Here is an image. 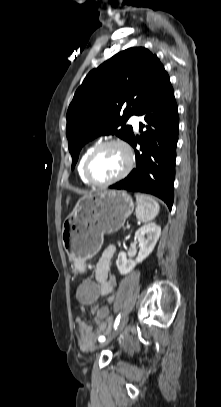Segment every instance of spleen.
<instances>
[{
  "label": "spleen",
  "instance_id": "spleen-1",
  "mask_svg": "<svg viewBox=\"0 0 221 407\" xmlns=\"http://www.w3.org/2000/svg\"><path fill=\"white\" fill-rule=\"evenodd\" d=\"M136 217L139 221L147 223L152 221L159 213L160 206L151 196L146 194H135Z\"/></svg>",
  "mask_w": 221,
  "mask_h": 407
}]
</instances>
